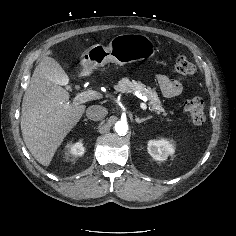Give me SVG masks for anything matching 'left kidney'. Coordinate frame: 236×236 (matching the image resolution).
<instances>
[{
  "label": "left kidney",
  "instance_id": "obj_1",
  "mask_svg": "<svg viewBox=\"0 0 236 236\" xmlns=\"http://www.w3.org/2000/svg\"><path fill=\"white\" fill-rule=\"evenodd\" d=\"M148 153L158 161H164L174 153V145L165 139L150 140L147 144Z\"/></svg>",
  "mask_w": 236,
  "mask_h": 236
}]
</instances>
